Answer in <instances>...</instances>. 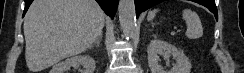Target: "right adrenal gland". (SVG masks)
Wrapping results in <instances>:
<instances>
[{
    "instance_id": "2a0ac1e0",
    "label": "right adrenal gland",
    "mask_w": 244,
    "mask_h": 73,
    "mask_svg": "<svg viewBox=\"0 0 244 73\" xmlns=\"http://www.w3.org/2000/svg\"><path fill=\"white\" fill-rule=\"evenodd\" d=\"M101 40H102V35H100V36L94 41V43L89 47V49L93 48L94 45L99 46L100 43H101Z\"/></svg>"
}]
</instances>
